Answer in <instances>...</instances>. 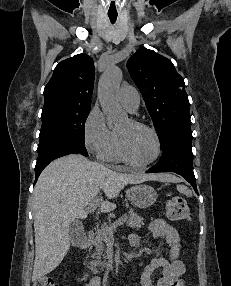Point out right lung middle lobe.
Here are the masks:
<instances>
[{
  "label": "right lung middle lobe",
  "instance_id": "obj_1",
  "mask_svg": "<svg viewBox=\"0 0 231 286\" xmlns=\"http://www.w3.org/2000/svg\"><path fill=\"white\" fill-rule=\"evenodd\" d=\"M90 108L91 106L70 104L44 106L38 149L58 140H74L85 143L84 124Z\"/></svg>",
  "mask_w": 231,
  "mask_h": 286
}]
</instances>
